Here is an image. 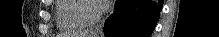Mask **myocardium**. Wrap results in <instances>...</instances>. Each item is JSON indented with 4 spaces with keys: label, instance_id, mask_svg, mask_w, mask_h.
<instances>
[{
    "label": "myocardium",
    "instance_id": "myocardium-1",
    "mask_svg": "<svg viewBox=\"0 0 219 37\" xmlns=\"http://www.w3.org/2000/svg\"><path fill=\"white\" fill-rule=\"evenodd\" d=\"M94 6H97L96 1L84 0L82 14L86 22H88L89 24H94L98 22L106 12V6L98 7L97 11H93Z\"/></svg>",
    "mask_w": 219,
    "mask_h": 37
}]
</instances>
